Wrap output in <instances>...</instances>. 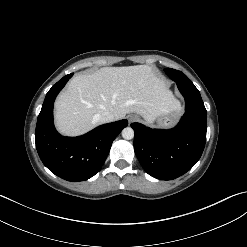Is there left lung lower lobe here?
Returning a JSON list of instances; mask_svg holds the SVG:
<instances>
[{
	"label": "left lung lower lobe",
	"mask_w": 247,
	"mask_h": 247,
	"mask_svg": "<svg viewBox=\"0 0 247 247\" xmlns=\"http://www.w3.org/2000/svg\"><path fill=\"white\" fill-rule=\"evenodd\" d=\"M185 98V114L170 130L151 129L132 123L134 150L144 170L154 178L175 179L199 160L206 142L207 112L198 89L191 81H175Z\"/></svg>",
	"instance_id": "1"
}]
</instances>
